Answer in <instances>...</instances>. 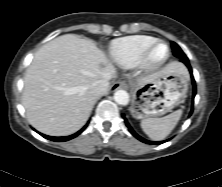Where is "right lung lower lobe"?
<instances>
[{
	"instance_id": "obj_1",
	"label": "right lung lower lobe",
	"mask_w": 222,
	"mask_h": 187,
	"mask_svg": "<svg viewBox=\"0 0 222 187\" xmlns=\"http://www.w3.org/2000/svg\"><path fill=\"white\" fill-rule=\"evenodd\" d=\"M87 127V124L81 129L79 130L77 133L70 135V136H65V137H52V136H47L44 134L39 133L40 135H42L44 138L52 140V141H56V142H64V141H68L70 139L75 138L76 136H78L81 132L84 131V129Z\"/></svg>"
}]
</instances>
